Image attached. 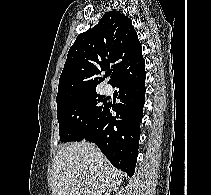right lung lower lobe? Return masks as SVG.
I'll list each match as a JSON object with an SVG mask.
<instances>
[{
    "instance_id": "obj_1",
    "label": "right lung lower lobe",
    "mask_w": 211,
    "mask_h": 195,
    "mask_svg": "<svg viewBox=\"0 0 211 195\" xmlns=\"http://www.w3.org/2000/svg\"><path fill=\"white\" fill-rule=\"evenodd\" d=\"M145 78V64L123 74L113 84L119 88L120 102L107 103L98 120L82 138L95 143L113 166L130 177L134 174L138 155Z\"/></svg>"
}]
</instances>
